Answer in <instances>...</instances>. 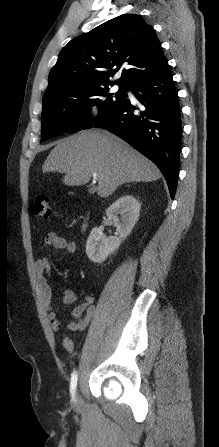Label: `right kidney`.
<instances>
[{"mask_svg": "<svg viewBox=\"0 0 219 447\" xmlns=\"http://www.w3.org/2000/svg\"><path fill=\"white\" fill-rule=\"evenodd\" d=\"M141 204L132 195L116 200L106 210L118 236L105 237L100 228H93L86 242V254L94 263H102L130 235L139 218ZM120 215V218L118 217Z\"/></svg>", "mask_w": 219, "mask_h": 447, "instance_id": "obj_1", "label": "right kidney"}]
</instances>
